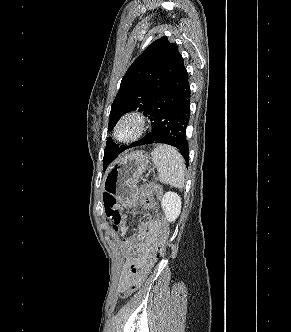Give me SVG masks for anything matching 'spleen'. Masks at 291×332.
Returning a JSON list of instances; mask_svg holds the SVG:
<instances>
[{"instance_id":"3e777b00","label":"spleen","mask_w":291,"mask_h":332,"mask_svg":"<svg viewBox=\"0 0 291 332\" xmlns=\"http://www.w3.org/2000/svg\"><path fill=\"white\" fill-rule=\"evenodd\" d=\"M152 162L156 166L162 183L183 188L185 183V161L180 152L169 145H159L152 152Z\"/></svg>"}]
</instances>
